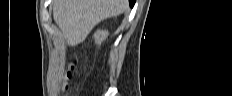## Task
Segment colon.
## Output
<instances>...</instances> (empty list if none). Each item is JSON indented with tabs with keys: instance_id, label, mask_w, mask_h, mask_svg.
<instances>
[{
	"instance_id": "1",
	"label": "colon",
	"mask_w": 232,
	"mask_h": 96,
	"mask_svg": "<svg viewBox=\"0 0 232 96\" xmlns=\"http://www.w3.org/2000/svg\"><path fill=\"white\" fill-rule=\"evenodd\" d=\"M76 69L75 64H70L69 68H68V75L70 76L72 72H74Z\"/></svg>"
}]
</instances>
